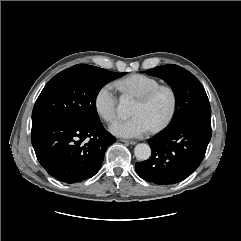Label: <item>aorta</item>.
Returning a JSON list of instances; mask_svg holds the SVG:
<instances>
[{"instance_id":"obj_1","label":"aorta","mask_w":241,"mask_h":241,"mask_svg":"<svg viewBox=\"0 0 241 241\" xmlns=\"http://www.w3.org/2000/svg\"><path fill=\"white\" fill-rule=\"evenodd\" d=\"M131 102L127 98L122 97L118 105V113L127 116L130 113ZM134 155L138 160L145 161L151 156V148L148 144L140 143L134 148Z\"/></svg>"}]
</instances>
